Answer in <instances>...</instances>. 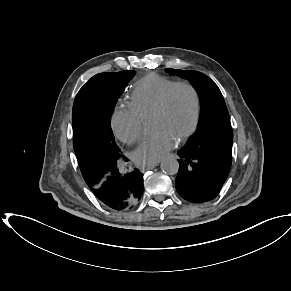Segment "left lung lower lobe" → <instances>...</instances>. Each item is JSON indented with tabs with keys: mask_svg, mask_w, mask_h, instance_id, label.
<instances>
[{
	"mask_svg": "<svg viewBox=\"0 0 291 291\" xmlns=\"http://www.w3.org/2000/svg\"><path fill=\"white\" fill-rule=\"evenodd\" d=\"M178 155L175 183L178 194L191 203L213 200L228 177L231 162L185 149L178 151Z\"/></svg>",
	"mask_w": 291,
	"mask_h": 291,
	"instance_id": "obj_1",
	"label": "left lung lower lobe"
}]
</instances>
